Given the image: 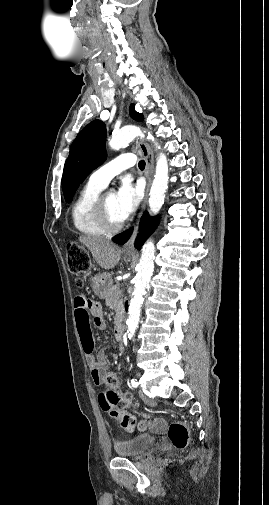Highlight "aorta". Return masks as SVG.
Listing matches in <instances>:
<instances>
[{"label":"aorta","mask_w":269,"mask_h":505,"mask_svg":"<svg viewBox=\"0 0 269 505\" xmlns=\"http://www.w3.org/2000/svg\"><path fill=\"white\" fill-rule=\"evenodd\" d=\"M144 136L142 131L136 126H126L114 133L109 140V146L114 150H119L127 146L135 137ZM155 146L159 149L152 135L148 136ZM168 161L164 153H160L156 160V169L154 180L150 190L149 207L151 212L156 215L159 213L165 199V192L168 188ZM155 246L152 241H147L143 248L141 258L138 264L137 274L134 280V291L128 310L127 334L131 339L138 327L141 314V307L146 294V288L150 282L154 270Z\"/></svg>","instance_id":"aorta-1"}]
</instances>
